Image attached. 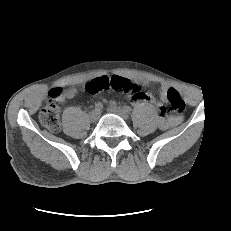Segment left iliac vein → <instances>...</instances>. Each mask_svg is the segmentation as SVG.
Wrapping results in <instances>:
<instances>
[{"label": "left iliac vein", "mask_w": 231, "mask_h": 231, "mask_svg": "<svg viewBox=\"0 0 231 231\" xmlns=\"http://www.w3.org/2000/svg\"><path fill=\"white\" fill-rule=\"evenodd\" d=\"M110 113H114L120 117H122L123 119H128V114L127 112L124 111V109L118 107V106H110L108 109H107Z\"/></svg>", "instance_id": "obj_1"}]
</instances>
